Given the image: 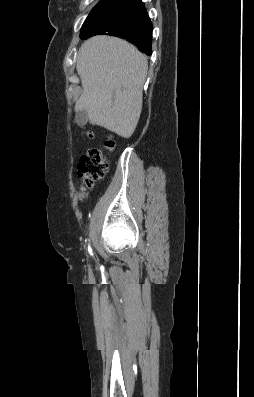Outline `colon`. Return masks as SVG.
<instances>
[{"mask_svg":"<svg viewBox=\"0 0 254 397\" xmlns=\"http://www.w3.org/2000/svg\"><path fill=\"white\" fill-rule=\"evenodd\" d=\"M88 138L92 137V133H87ZM105 148L107 152L115 149V141L112 137L105 140ZM108 169L107 155L98 149L88 150L79 160L78 175L82 180L83 189L90 188L93 184L102 179Z\"/></svg>","mask_w":254,"mask_h":397,"instance_id":"1","label":"colon"}]
</instances>
